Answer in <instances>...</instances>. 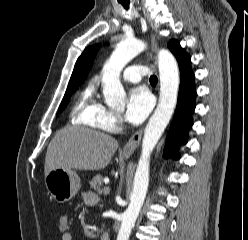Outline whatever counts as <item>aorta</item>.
I'll return each mask as SVG.
<instances>
[{
	"instance_id": "1",
	"label": "aorta",
	"mask_w": 248,
	"mask_h": 240,
	"mask_svg": "<svg viewBox=\"0 0 248 240\" xmlns=\"http://www.w3.org/2000/svg\"><path fill=\"white\" fill-rule=\"evenodd\" d=\"M145 49L146 44L140 40H125L117 46L104 64L102 69L103 95L109 106L120 108L125 105L126 94L120 81L121 70ZM158 65L159 103L144 131L142 153L134 176L130 204L123 214L117 240H129L148 190L150 155L167 127L177 103L180 82L177 62L169 51L162 49L158 53Z\"/></svg>"
}]
</instances>
